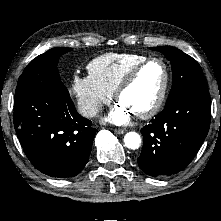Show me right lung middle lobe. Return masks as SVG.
Listing matches in <instances>:
<instances>
[{
    "label": "right lung middle lobe",
    "mask_w": 221,
    "mask_h": 221,
    "mask_svg": "<svg viewBox=\"0 0 221 221\" xmlns=\"http://www.w3.org/2000/svg\"><path fill=\"white\" fill-rule=\"evenodd\" d=\"M71 50L72 48L65 47L52 48L33 59L19 77L14 103L38 92L69 96L68 90L61 82L57 64L59 58Z\"/></svg>",
    "instance_id": "1"
}]
</instances>
